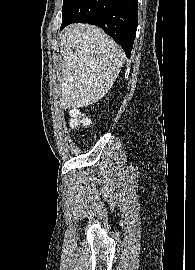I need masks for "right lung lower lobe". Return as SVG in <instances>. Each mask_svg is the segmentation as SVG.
I'll return each instance as SVG.
<instances>
[{"label":"right lung lower lobe","instance_id":"right-lung-lower-lobe-1","mask_svg":"<svg viewBox=\"0 0 195 270\" xmlns=\"http://www.w3.org/2000/svg\"><path fill=\"white\" fill-rule=\"evenodd\" d=\"M138 0H73L63 11L61 29L75 23L101 27L130 57L137 30Z\"/></svg>","mask_w":195,"mask_h":270}]
</instances>
